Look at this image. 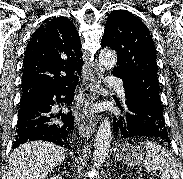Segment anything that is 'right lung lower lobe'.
<instances>
[{
  "instance_id": "obj_1",
  "label": "right lung lower lobe",
  "mask_w": 183,
  "mask_h": 179,
  "mask_svg": "<svg viewBox=\"0 0 183 179\" xmlns=\"http://www.w3.org/2000/svg\"><path fill=\"white\" fill-rule=\"evenodd\" d=\"M77 82L68 86H39L22 96L23 105L19 110L13 148L26 141L44 140L71 149L69 136L74 129L72 112L54 115L51 107L56 102L70 105ZM59 118L62 122H57Z\"/></svg>"
}]
</instances>
